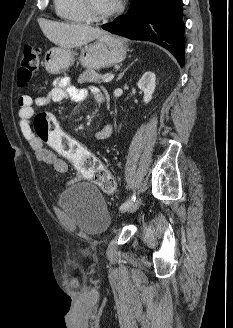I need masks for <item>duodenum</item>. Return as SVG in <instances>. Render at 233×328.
<instances>
[{"label": "duodenum", "mask_w": 233, "mask_h": 328, "mask_svg": "<svg viewBox=\"0 0 233 328\" xmlns=\"http://www.w3.org/2000/svg\"><path fill=\"white\" fill-rule=\"evenodd\" d=\"M99 102L100 103H103L104 102V96L103 95L100 97Z\"/></svg>", "instance_id": "1"}]
</instances>
